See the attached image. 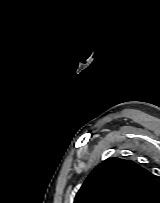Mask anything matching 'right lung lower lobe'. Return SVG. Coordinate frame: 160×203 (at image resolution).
<instances>
[{
    "mask_svg": "<svg viewBox=\"0 0 160 203\" xmlns=\"http://www.w3.org/2000/svg\"><path fill=\"white\" fill-rule=\"evenodd\" d=\"M157 200L153 203H160V194L158 195V197L156 198Z\"/></svg>",
    "mask_w": 160,
    "mask_h": 203,
    "instance_id": "obj_1",
    "label": "right lung lower lobe"
}]
</instances>
